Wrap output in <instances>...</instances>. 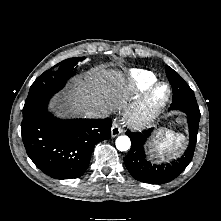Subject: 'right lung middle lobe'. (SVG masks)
Wrapping results in <instances>:
<instances>
[{"instance_id":"right-lung-middle-lobe-1","label":"right lung middle lobe","mask_w":221,"mask_h":221,"mask_svg":"<svg viewBox=\"0 0 221 221\" xmlns=\"http://www.w3.org/2000/svg\"><path fill=\"white\" fill-rule=\"evenodd\" d=\"M84 59V57L66 59L50 70L45 71L36 79L31 85L25 101L23 117L48 103L50 98L61 90L67 80L75 74L74 67L77 65V62Z\"/></svg>"}]
</instances>
